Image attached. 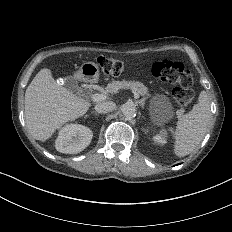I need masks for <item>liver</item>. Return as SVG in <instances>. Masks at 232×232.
Segmentation results:
<instances>
[{"instance_id":"6515ba94","label":"liver","mask_w":232,"mask_h":232,"mask_svg":"<svg viewBox=\"0 0 232 232\" xmlns=\"http://www.w3.org/2000/svg\"><path fill=\"white\" fill-rule=\"evenodd\" d=\"M24 105L30 134L46 142L58 129L84 116L92 104L57 84L51 70L42 68L26 88Z\"/></svg>"}]
</instances>
